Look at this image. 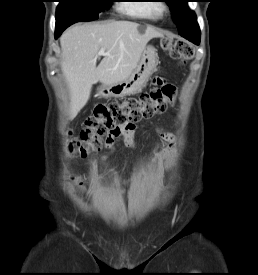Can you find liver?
<instances>
[{
    "mask_svg": "<svg viewBox=\"0 0 258 275\" xmlns=\"http://www.w3.org/2000/svg\"><path fill=\"white\" fill-rule=\"evenodd\" d=\"M163 34L132 21L74 25L60 37L61 68L71 94L70 118L90 98L93 84L105 86L126 79L137 66L147 43ZM104 58L96 66L100 49Z\"/></svg>",
    "mask_w": 258,
    "mask_h": 275,
    "instance_id": "obj_1",
    "label": "liver"
}]
</instances>
